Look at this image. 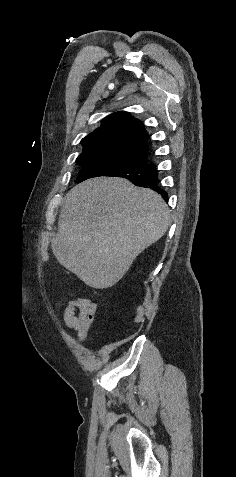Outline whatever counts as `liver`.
Wrapping results in <instances>:
<instances>
[{"instance_id":"1","label":"liver","mask_w":236,"mask_h":477,"mask_svg":"<svg viewBox=\"0 0 236 477\" xmlns=\"http://www.w3.org/2000/svg\"><path fill=\"white\" fill-rule=\"evenodd\" d=\"M169 225L167 205L158 193L123 178H93L66 194L51 248L57 261L86 285L106 289Z\"/></svg>"}]
</instances>
